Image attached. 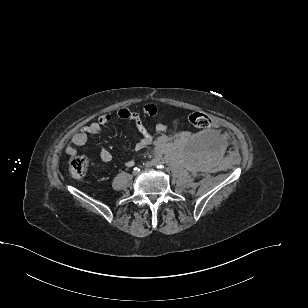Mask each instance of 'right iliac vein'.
Wrapping results in <instances>:
<instances>
[{"label": "right iliac vein", "instance_id": "63e3f726", "mask_svg": "<svg viewBox=\"0 0 308 308\" xmlns=\"http://www.w3.org/2000/svg\"><path fill=\"white\" fill-rule=\"evenodd\" d=\"M138 174L137 171H133V175L136 176Z\"/></svg>", "mask_w": 308, "mask_h": 308}]
</instances>
